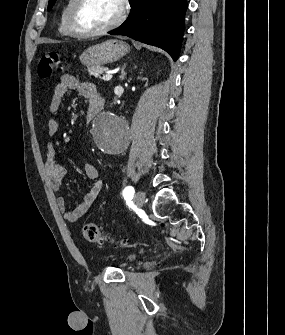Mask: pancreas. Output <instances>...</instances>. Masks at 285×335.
<instances>
[{
    "instance_id": "cf45deb5",
    "label": "pancreas",
    "mask_w": 285,
    "mask_h": 335,
    "mask_svg": "<svg viewBox=\"0 0 285 335\" xmlns=\"http://www.w3.org/2000/svg\"><path fill=\"white\" fill-rule=\"evenodd\" d=\"M105 70H108V68H96V66H91V68H88V72H90V76L96 78H99V74H102V72H105Z\"/></svg>"
}]
</instances>
